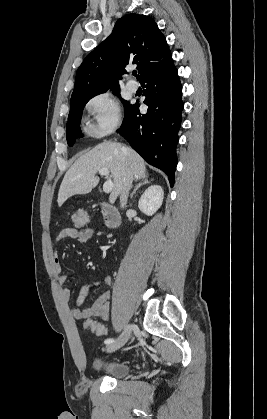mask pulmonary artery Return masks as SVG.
Returning a JSON list of instances; mask_svg holds the SVG:
<instances>
[{
	"instance_id": "e3ab8cb5",
	"label": "pulmonary artery",
	"mask_w": 267,
	"mask_h": 419,
	"mask_svg": "<svg viewBox=\"0 0 267 419\" xmlns=\"http://www.w3.org/2000/svg\"><path fill=\"white\" fill-rule=\"evenodd\" d=\"M126 87L131 92H136L138 89V84L134 80H129L126 84Z\"/></svg>"
}]
</instances>
